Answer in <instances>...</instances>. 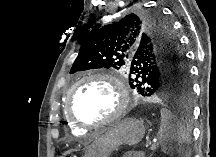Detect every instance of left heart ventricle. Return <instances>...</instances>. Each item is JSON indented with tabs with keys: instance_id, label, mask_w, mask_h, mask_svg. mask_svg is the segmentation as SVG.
<instances>
[{
	"instance_id": "b2bd125f",
	"label": "left heart ventricle",
	"mask_w": 216,
	"mask_h": 157,
	"mask_svg": "<svg viewBox=\"0 0 216 157\" xmlns=\"http://www.w3.org/2000/svg\"><path fill=\"white\" fill-rule=\"evenodd\" d=\"M116 107V91L109 84L92 80L79 85L72 95L73 113L83 121H99Z\"/></svg>"
}]
</instances>
